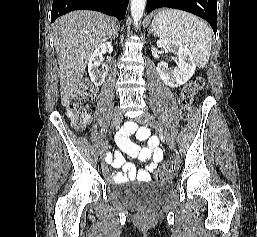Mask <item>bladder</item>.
<instances>
[{
  "instance_id": "31cf9c89",
  "label": "bladder",
  "mask_w": 257,
  "mask_h": 237,
  "mask_svg": "<svg viewBox=\"0 0 257 237\" xmlns=\"http://www.w3.org/2000/svg\"><path fill=\"white\" fill-rule=\"evenodd\" d=\"M146 184L143 188L124 193L121 201L134 210H151L158 207L172 190L170 180H155Z\"/></svg>"
}]
</instances>
